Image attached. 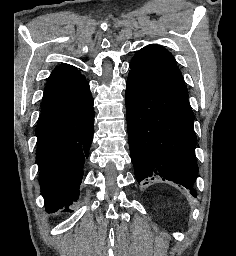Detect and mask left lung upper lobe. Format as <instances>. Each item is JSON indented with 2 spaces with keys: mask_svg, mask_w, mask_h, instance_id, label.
<instances>
[{
  "mask_svg": "<svg viewBox=\"0 0 236 256\" xmlns=\"http://www.w3.org/2000/svg\"><path fill=\"white\" fill-rule=\"evenodd\" d=\"M130 68L167 88L188 97L184 79L169 51L158 45H148L133 57Z\"/></svg>",
  "mask_w": 236,
  "mask_h": 256,
  "instance_id": "obj_1",
  "label": "left lung upper lobe"
}]
</instances>
